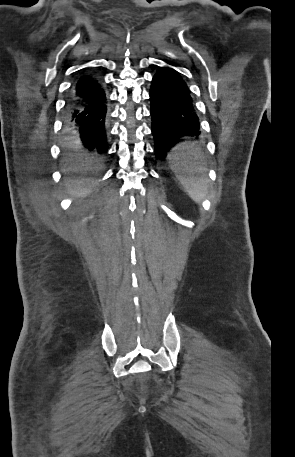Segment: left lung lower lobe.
Returning a JSON list of instances; mask_svg holds the SVG:
<instances>
[{"instance_id": "1", "label": "left lung lower lobe", "mask_w": 295, "mask_h": 457, "mask_svg": "<svg viewBox=\"0 0 295 457\" xmlns=\"http://www.w3.org/2000/svg\"><path fill=\"white\" fill-rule=\"evenodd\" d=\"M152 134L158 159L172 147L200 134L199 118L190 91L182 76L173 68L160 67L150 89Z\"/></svg>"}]
</instances>
